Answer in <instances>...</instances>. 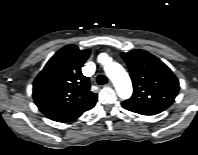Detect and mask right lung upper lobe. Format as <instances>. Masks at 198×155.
Returning a JSON list of instances; mask_svg holds the SVG:
<instances>
[{"label":"right lung upper lobe","mask_w":198,"mask_h":155,"mask_svg":"<svg viewBox=\"0 0 198 155\" xmlns=\"http://www.w3.org/2000/svg\"><path fill=\"white\" fill-rule=\"evenodd\" d=\"M90 50L75 45L60 49L46 64L33 83V98L48 118L65 122L82 114L97 101L90 91L89 78L81 72Z\"/></svg>","instance_id":"right-lung-upper-lobe-1"}]
</instances>
